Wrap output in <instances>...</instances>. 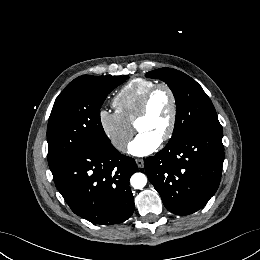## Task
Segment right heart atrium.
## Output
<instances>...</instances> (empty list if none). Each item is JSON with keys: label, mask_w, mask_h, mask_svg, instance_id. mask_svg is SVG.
<instances>
[{"label": "right heart atrium", "mask_w": 260, "mask_h": 260, "mask_svg": "<svg viewBox=\"0 0 260 260\" xmlns=\"http://www.w3.org/2000/svg\"><path fill=\"white\" fill-rule=\"evenodd\" d=\"M100 128L110 144L123 151L132 135V126L117 111L100 109L98 112Z\"/></svg>", "instance_id": "1"}]
</instances>
